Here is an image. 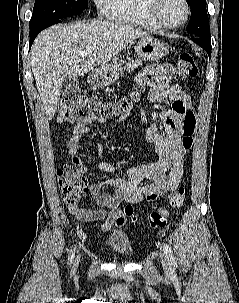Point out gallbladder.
Segmentation results:
<instances>
[{
  "instance_id": "obj_1",
  "label": "gallbladder",
  "mask_w": 239,
  "mask_h": 303,
  "mask_svg": "<svg viewBox=\"0 0 239 303\" xmlns=\"http://www.w3.org/2000/svg\"><path fill=\"white\" fill-rule=\"evenodd\" d=\"M79 89V81L77 77L66 78L61 84V93L64 96L75 94Z\"/></svg>"
}]
</instances>
